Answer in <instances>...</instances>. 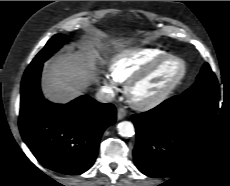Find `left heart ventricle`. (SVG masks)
<instances>
[{"instance_id":"b2bd125f","label":"left heart ventricle","mask_w":230,"mask_h":186,"mask_svg":"<svg viewBox=\"0 0 230 186\" xmlns=\"http://www.w3.org/2000/svg\"><path fill=\"white\" fill-rule=\"evenodd\" d=\"M178 62L169 60L161 65L150 77L139 83L133 94L137 99H147L160 92L179 72Z\"/></svg>"}]
</instances>
